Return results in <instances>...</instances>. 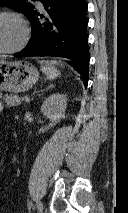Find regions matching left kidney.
Segmentation results:
<instances>
[{
	"mask_svg": "<svg viewBox=\"0 0 128 213\" xmlns=\"http://www.w3.org/2000/svg\"><path fill=\"white\" fill-rule=\"evenodd\" d=\"M67 107V97L64 94H53L49 96L41 106V111L51 123L39 129V133H44L53 127L61 119L65 118V110Z\"/></svg>",
	"mask_w": 128,
	"mask_h": 213,
	"instance_id": "left-kidney-1",
	"label": "left kidney"
}]
</instances>
